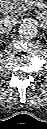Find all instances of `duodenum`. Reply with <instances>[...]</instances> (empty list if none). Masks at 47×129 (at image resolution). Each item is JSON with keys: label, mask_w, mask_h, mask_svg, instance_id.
Returning a JSON list of instances; mask_svg holds the SVG:
<instances>
[{"label": "duodenum", "mask_w": 47, "mask_h": 129, "mask_svg": "<svg viewBox=\"0 0 47 129\" xmlns=\"http://www.w3.org/2000/svg\"><path fill=\"white\" fill-rule=\"evenodd\" d=\"M15 8V4L11 0H3L1 3V11L4 14H11Z\"/></svg>", "instance_id": "obj_1"}]
</instances>
